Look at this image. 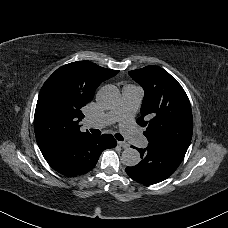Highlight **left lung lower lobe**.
<instances>
[{
    "label": "left lung lower lobe",
    "mask_w": 228,
    "mask_h": 228,
    "mask_svg": "<svg viewBox=\"0 0 228 228\" xmlns=\"http://www.w3.org/2000/svg\"><path fill=\"white\" fill-rule=\"evenodd\" d=\"M136 149L142 160L133 167H127L126 172L142 184H155L167 179L178 168L186 153L165 144L151 142L144 149Z\"/></svg>",
    "instance_id": "0a47b994"
}]
</instances>
